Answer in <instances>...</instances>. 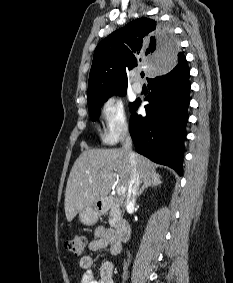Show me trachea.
Segmentation results:
<instances>
[{
  "instance_id": "3493384b",
  "label": "trachea",
  "mask_w": 233,
  "mask_h": 283,
  "mask_svg": "<svg viewBox=\"0 0 233 283\" xmlns=\"http://www.w3.org/2000/svg\"><path fill=\"white\" fill-rule=\"evenodd\" d=\"M141 77H142V78L144 77V73H143V72H141Z\"/></svg>"
}]
</instances>
